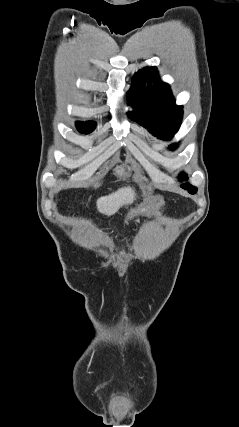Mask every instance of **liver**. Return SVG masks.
<instances>
[{
    "mask_svg": "<svg viewBox=\"0 0 239 427\" xmlns=\"http://www.w3.org/2000/svg\"><path fill=\"white\" fill-rule=\"evenodd\" d=\"M135 197V191L131 187H123L108 196L99 198L96 202L97 209L100 213L111 216L122 206L132 204Z\"/></svg>",
    "mask_w": 239,
    "mask_h": 427,
    "instance_id": "1",
    "label": "liver"
}]
</instances>
